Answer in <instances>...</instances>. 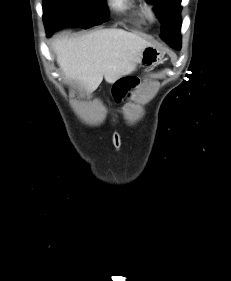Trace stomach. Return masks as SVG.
Wrapping results in <instances>:
<instances>
[{"instance_id": "stomach-1", "label": "stomach", "mask_w": 231, "mask_h": 281, "mask_svg": "<svg viewBox=\"0 0 231 281\" xmlns=\"http://www.w3.org/2000/svg\"><path fill=\"white\" fill-rule=\"evenodd\" d=\"M162 58L163 54L159 49L148 46L142 51L137 64L140 67L149 68L159 64Z\"/></svg>"}]
</instances>
